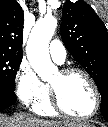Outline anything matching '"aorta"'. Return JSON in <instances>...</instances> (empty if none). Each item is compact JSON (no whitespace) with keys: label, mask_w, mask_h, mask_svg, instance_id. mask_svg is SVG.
<instances>
[{"label":"aorta","mask_w":108,"mask_h":127,"mask_svg":"<svg viewBox=\"0 0 108 127\" xmlns=\"http://www.w3.org/2000/svg\"><path fill=\"white\" fill-rule=\"evenodd\" d=\"M57 27L54 16H46L34 25L26 46L27 59L42 81H48L56 71L49 55V42Z\"/></svg>","instance_id":"aorta-1"}]
</instances>
